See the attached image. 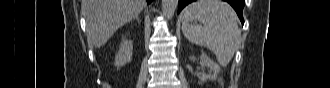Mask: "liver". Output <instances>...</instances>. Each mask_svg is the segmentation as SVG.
Listing matches in <instances>:
<instances>
[{"label": "liver", "instance_id": "obj_1", "mask_svg": "<svg viewBox=\"0 0 330 88\" xmlns=\"http://www.w3.org/2000/svg\"><path fill=\"white\" fill-rule=\"evenodd\" d=\"M145 0H82L88 41L103 46L124 24L137 17Z\"/></svg>", "mask_w": 330, "mask_h": 88}]
</instances>
